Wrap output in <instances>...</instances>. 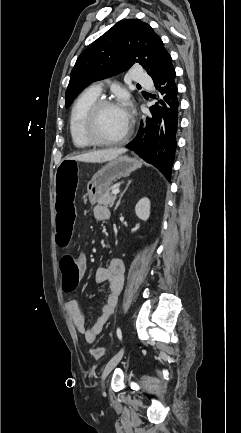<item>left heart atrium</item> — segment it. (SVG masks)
I'll return each instance as SVG.
<instances>
[{
	"mask_svg": "<svg viewBox=\"0 0 241 433\" xmlns=\"http://www.w3.org/2000/svg\"><path fill=\"white\" fill-rule=\"evenodd\" d=\"M119 107L121 108L126 120L129 121L131 115V109L128 101L124 100Z\"/></svg>",
	"mask_w": 241,
	"mask_h": 433,
	"instance_id": "obj_1",
	"label": "left heart atrium"
}]
</instances>
